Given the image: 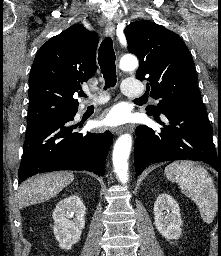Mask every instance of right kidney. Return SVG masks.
I'll list each match as a JSON object with an SVG mask.
<instances>
[{"mask_svg": "<svg viewBox=\"0 0 221 256\" xmlns=\"http://www.w3.org/2000/svg\"><path fill=\"white\" fill-rule=\"evenodd\" d=\"M85 213V205L77 195L68 196L56 205L53 230L62 249L70 250L80 240L85 227Z\"/></svg>", "mask_w": 221, "mask_h": 256, "instance_id": "right-kidney-1", "label": "right kidney"}]
</instances>
